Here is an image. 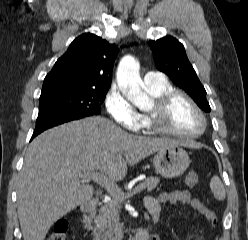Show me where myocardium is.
I'll list each match as a JSON object with an SVG mask.
<instances>
[{
	"mask_svg": "<svg viewBox=\"0 0 248 240\" xmlns=\"http://www.w3.org/2000/svg\"><path fill=\"white\" fill-rule=\"evenodd\" d=\"M178 97H182L187 100L199 114L200 118L202 119V128L199 131L194 133H181L169 129L163 124V118L165 114L167 113L172 102ZM146 118L147 125L152 131L162 135L184 139H194L200 137L205 133L208 125L206 115L201 109V107L197 104V102L188 93L176 89L167 91L158 96L157 98H153V105L151 109L147 112Z\"/></svg>",
	"mask_w": 248,
	"mask_h": 240,
	"instance_id": "myocardium-1",
	"label": "myocardium"
}]
</instances>
